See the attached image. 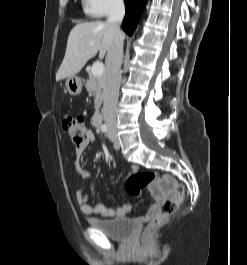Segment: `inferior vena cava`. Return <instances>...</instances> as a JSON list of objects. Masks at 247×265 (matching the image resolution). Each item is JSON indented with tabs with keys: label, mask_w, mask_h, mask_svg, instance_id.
<instances>
[{
	"label": "inferior vena cava",
	"mask_w": 247,
	"mask_h": 265,
	"mask_svg": "<svg viewBox=\"0 0 247 265\" xmlns=\"http://www.w3.org/2000/svg\"><path fill=\"white\" fill-rule=\"evenodd\" d=\"M125 14L123 0H113L107 22L116 30V38L107 52L105 63V92L103 104V116L106 125L110 128L116 127V107L119 98L121 84V65L123 60L124 35L120 31V23Z\"/></svg>",
	"instance_id": "1"
}]
</instances>
